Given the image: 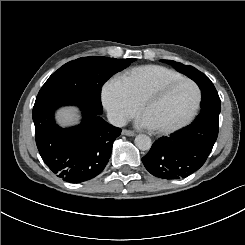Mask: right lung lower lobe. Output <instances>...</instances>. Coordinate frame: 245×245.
<instances>
[{
    "mask_svg": "<svg viewBox=\"0 0 245 245\" xmlns=\"http://www.w3.org/2000/svg\"><path fill=\"white\" fill-rule=\"evenodd\" d=\"M64 105L79 106L83 122L61 128L54 112ZM39 153L50 170L64 181L80 183L100 174L109 161L113 141L121 129L105 122L84 105L67 100H53L34 105L32 113Z\"/></svg>",
    "mask_w": 245,
    "mask_h": 245,
    "instance_id": "98d812e1",
    "label": "right lung lower lobe"
}]
</instances>
